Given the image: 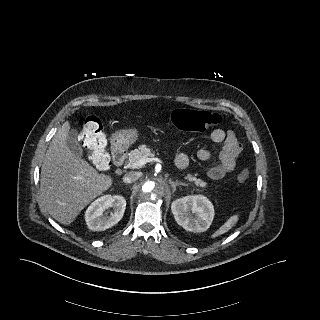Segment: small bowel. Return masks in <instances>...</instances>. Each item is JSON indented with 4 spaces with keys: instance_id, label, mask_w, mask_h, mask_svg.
I'll return each mask as SVG.
<instances>
[{
    "instance_id": "small-bowel-1",
    "label": "small bowel",
    "mask_w": 320,
    "mask_h": 320,
    "mask_svg": "<svg viewBox=\"0 0 320 320\" xmlns=\"http://www.w3.org/2000/svg\"><path fill=\"white\" fill-rule=\"evenodd\" d=\"M210 137L214 143L222 144L218 154L217 164L208 171V175L211 179L219 180L228 173L234 171L237 158L242 151V146L233 131L215 129L212 131ZM197 157L201 161H209L212 157V153L207 149H200L197 151ZM175 162L177 167L181 169L186 168L189 164V157L185 153H179L176 156Z\"/></svg>"
}]
</instances>
